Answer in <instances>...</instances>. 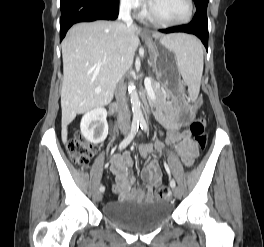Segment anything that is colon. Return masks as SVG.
<instances>
[{
	"instance_id": "colon-1",
	"label": "colon",
	"mask_w": 264,
	"mask_h": 247,
	"mask_svg": "<svg viewBox=\"0 0 264 247\" xmlns=\"http://www.w3.org/2000/svg\"><path fill=\"white\" fill-rule=\"evenodd\" d=\"M190 131L198 146L204 149L207 144L206 120L204 118L194 120ZM96 150L95 146L85 141L81 136L75 137L68 144L70 157L81 168L89 166V162ZM169 194L170 191L166 186H160L156 189V195L161 199L168 197Z\"/></svg>"
}]
</instances>
